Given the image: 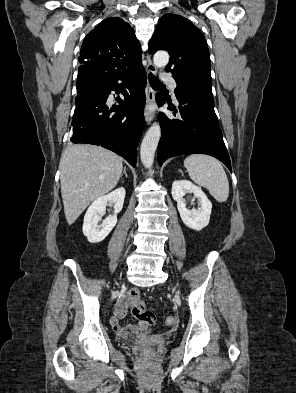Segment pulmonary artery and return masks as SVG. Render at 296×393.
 Wrapping results in <instances>:
<instances>
[{
  "mask_svg": "<svg viewBox=\"0 0 296 393\" xmlns=\"http://www.w3.org/2000/svg\"><path fill=\"white\" fill-rule=\"evenodd\" d=\"M162 81L165 82V83H167V84L170 86L172 92H174V90H175L177 84H176V82H175V80H174V78H173L172 76H170V75H164V76L162 77Z\"/></svg>",
  "mask_w": 296,
  "mask_h": 393,
  "instance_id": "1",
  "label": "pulmonary artery"
}]
</instances>
